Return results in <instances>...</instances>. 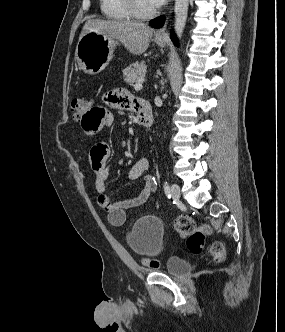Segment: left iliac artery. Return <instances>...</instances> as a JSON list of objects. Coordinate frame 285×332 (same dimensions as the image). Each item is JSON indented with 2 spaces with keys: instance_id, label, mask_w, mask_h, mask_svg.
Instances as JSON below:
<instances>
[{
  "instance_id": "obj_1",
  "label": "left iliac artery",
  "mask_w": 285,
  "mask_h": 332,
  "mask_svg": "<svg viewBox=\"0 0 285 332\" xmlns=\"http://www.w3.org/2000/svg\"><path fill=\"white\" fill-rule=\"evenodd\" d=\"M164 192L168 198H171V193H170V187L167 181L164 182L163 184Z\"/></svg>"
}]
</instances>
